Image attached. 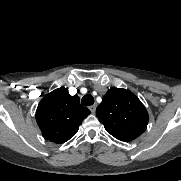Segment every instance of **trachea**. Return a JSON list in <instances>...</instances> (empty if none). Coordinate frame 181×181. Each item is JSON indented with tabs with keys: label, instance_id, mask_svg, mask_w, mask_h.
I'll list each match as a JSON object with an SVG mask.
<instances>
[{
	"label": "trachea",
	"instance_id": "1",
	"mask_svg": "<svg viewBox=\"0 0 181 181\" xmlns=\"http://www.w3.org/2000/svg\"><path fill=\"white\" fill-rule=\"evenodd\" d=\"M81 104L84 106H90L94 104V98L92 95L87 94L85 96H83L82 100H81Z\"/></svg>",
	"mask_w": 181,
	"mask_h": 181
}]
</instances>
